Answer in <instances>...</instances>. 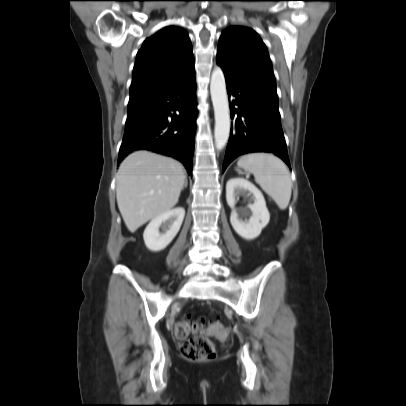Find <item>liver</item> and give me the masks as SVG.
Returning <instances> with one entry per match:
<instances>
[{"instance_id": "1", "label": "liver", "mask_w": 406, "mask_h": 406, "mask_svg": "<svg viewBox=\"0 0 406 406\" xmlns=\"http://www.w3.org/2000/svg\"><path fill=\"white\" fill-rule=\"evenodd\" d=\"M185 179L184 167L172 158L148 151L127 156L116 175V197L128 230L171 210Z\"/></svg>"}]
</instances>
